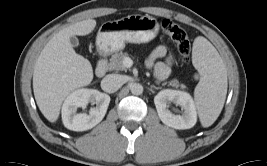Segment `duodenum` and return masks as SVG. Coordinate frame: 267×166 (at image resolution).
<instances>
[{
	"instance_id": "obj_1",
	"label": "duodenum",
	"mask_w": 267,
	"mask_h": 166,
	"mask_svg": "<svg viewBox=\"0 0 267 166\" xmlns=\"http://www.w3.org/2000/svg\"><path fill=\"white\" fill-rule=\"evenodd\" d=\"M108 60H107V56L106 54H102L97 62V66H96V75L98 77H103L106 72H107V68H108Z\"/></svg>"
}]
</instances>
